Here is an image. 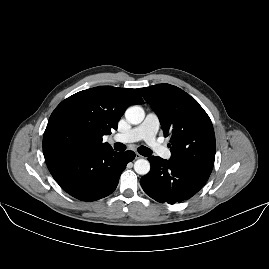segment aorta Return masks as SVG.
<instances>
[{
    "mask_svg": "<svg viewBox=\"0 0 269 269\" xmlns=\"http://www.w3.org/2000/svg\"><path fill=\"white\" fill-rule=\"evenodd\" d=\"M125 118L133 125L140 124L145 118L144 109L141 106H133L125 113ZM134 170L137 174L145 175L150 170V163L145 159H138L134 163Z\"/></svg>",
    "mask_w": 269,
    "mask_h": 269,
    "instance_id": "obj_1",
    "label": "aorta"
}]
</instances>
